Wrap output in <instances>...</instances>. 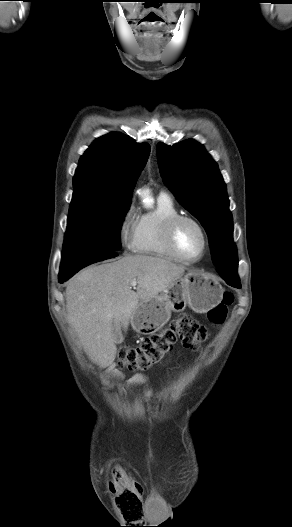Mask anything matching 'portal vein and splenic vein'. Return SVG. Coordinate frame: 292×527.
Listing matches in <instances>:
<instances>
[{
  "instance_id": "portal-vein-and-splenic-vein-1",
  "label": "portal vein and splenic vein",
  "mask_w": 292,
  "mask_h": 527,
  "mask_svg": "<svg viewBox=\"0 0 292 527\" xmlns=\"http://www.w3.org/2000/svg\"><path fill=\"white\" fill-rule=\"evenodd\" d=\"M136 285H137V281H136V280H133V281L131 282V286L135 287Z\"/></svg>"
}]
</instances>
